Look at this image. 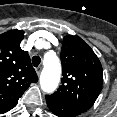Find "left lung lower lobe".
Segmentation results:
<instances>
[{
    "mask_svg": "<svg viewBox=\"0 0 117 117\" xmlns=\"http://www.w3.org/2000/svg\"><path fill=\"white\" fill-rule=\"evenodd\" d=\"M46 101L49 109L59 117H76L81 114L80 111L70 106L67 103L55 100L46 96Z\"/></svg>",
    "mask_w": 117,
    "mask_h": 117,
    "instance_id": "left-lung-lower-lobe-1",
    "label": "left lung lower lobe"
}]
</instances>
